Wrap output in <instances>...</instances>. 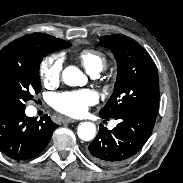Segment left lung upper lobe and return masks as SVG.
<instances>
[{
	"label": "left lung upper lobe",
	"mask_w": 183,
	"mask_h": 183,
	"mask_svg": "<svg viewBox=\"0 0 183 183\" xmlns=\"http://www.w3.org/2000/svg\"><path fill=\"white\" fill-rule=\"evenodd\" d=\"M99 45L110 49L117 61L114 92L99 115L113 118L132 111L156 117L159 80L157 67L150 55L125 35H107L100 39Z\"/></svg>",
	"instance_id": "obj_1"
}]
</instances>
